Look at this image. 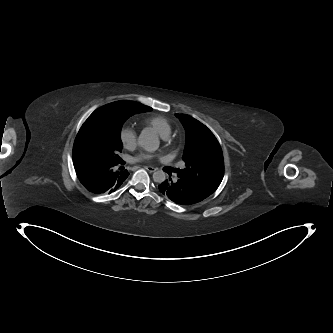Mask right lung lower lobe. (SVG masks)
Returning <instances> with one entry per match:
<instances>
[{"label":"right lung lower lobe","instance_id":"1","mask_svg":"<svg viewBox=\"0 0 333 333\" xmlns=\"http://www.w3.org/2000/svg\"><path fill=\"white\" fill-rule=\"evenodd\" d=\"M73 164L79 181L94 194L115 192L129 175L127 170H116L117 166L124 164L122 159L118 163L101 164L92 160L73 158Z\"/></svg>","mask_w":333,"mask_h":333}]
</instances>
